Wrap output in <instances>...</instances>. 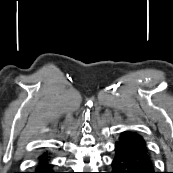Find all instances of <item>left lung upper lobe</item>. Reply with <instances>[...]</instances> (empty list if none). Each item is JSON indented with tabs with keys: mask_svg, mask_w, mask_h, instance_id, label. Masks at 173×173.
<instances>
[{
	"mask_svg": "<svg viewBox=\"0 0 173 173\" xmlns=\"http://www.w3.org/2000/svg\"><path fill=\"white\" fill-rule=\"evenodd\" d=\"M119 141L131 145H136L140 147H146V143L141 136L133 132H123L119 137Z\"/></svg>",
	"mask_w": 173,
	"mask_h": 173,
	"instance_id": "1",
	"label": "left lung upper lobe"
}]
</instances>
